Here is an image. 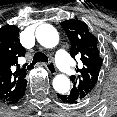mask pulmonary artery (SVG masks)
<instances>
[{
    "label": "pulmonary artery",
    "mask_w": 117,
    "mask_h": 117,
    "mask_svg": "<svg viewBox=\"0 0 117 117\" xmlns=\"http://www.w3.org/2000/svg\"><path fill=\"white\" fill-rule=\"evenodd\" d=\"M56 60L59 65V68L65 74H69L71 71L70 63L67 58L66 51L60 48L56 53Z\"/></svg>",
    "instance_id": "pulmonary-artery-1"
}]
</instances>
